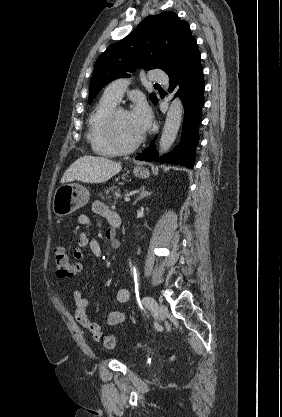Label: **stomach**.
<instances>
[{
    "label": "stomach",
    "instance_id": "0dacf381",
    "mask_svg": "<svg viewBox=\"0 0 282 417\" xmlns=\"http://www.w3.org/2000/svg\"><path fill=\"white\" fill-rule=\"evenodd\" d=\"M133 172L135 176H139V178H148V176H150L148 168H144L142 164L134 166ZM89 198L90 192L83 184L66 182V184L58 186L54 192L53 211L58 217L71 215V213H74L77 209H81V206L87 204Z\"/></svg>",
    "mask_w": 282,
    "mask_h": 417
}]
</instances>
